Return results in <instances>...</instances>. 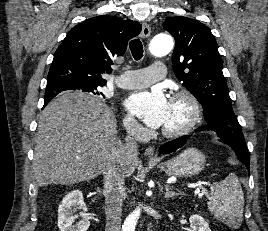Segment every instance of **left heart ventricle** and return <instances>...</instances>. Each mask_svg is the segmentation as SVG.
Listing matches in <instances>:
<instances>
[{
  "label": "left heart ventricle",
  "mask_w": 268,
  "mask_h": 231,
  "mask_svg": "<svg viewBox=\"0 0 268 231\" xmlns=\"http://www.w3.org/2000/svg\"><path fill=\"white\" fill-rule=\"evenodd\" d=\"M189 106L181 100L170 101L163 129L174 130L181 127L189 118Z\"/></svg>",
  "instance_id": "1"
}]
</instances>
